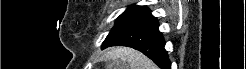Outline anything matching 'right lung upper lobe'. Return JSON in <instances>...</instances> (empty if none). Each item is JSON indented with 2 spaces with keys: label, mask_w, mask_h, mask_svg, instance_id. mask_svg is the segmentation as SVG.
Here are the masks:
<instances>
[{
  "label": "right lung upper lobe",
  "mask_w": 246,
  "mask_h": 69,
  "mask_svg": "<svg viewBox=\"0 0 246 69\" xmlns=\"http://www.w3.org/2000/svg\"><path fill=\"white\" fill-rule=\"evenodd\" d=\"M150 10L146 6H129L119 17H143Z\"/></svg>",
  "instance_id": "obj_1"
}]
</instances>
